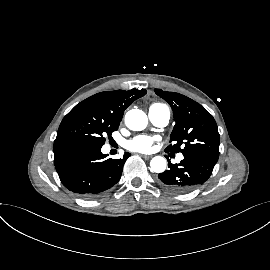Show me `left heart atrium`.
Wrapping results in <instances>:
<instances>
[{"label":"left heart atrium","instance_id":"left-heart-atrium-1","mask_svg":"<svg viewBox=\"0 0 270 270\" xmlns=\"http://www.w3.org/2000/svg\"><path fill=\"white\" fill-rule=\"evenodd\" d=\"M155 138L147 135H139L126 143V148L130 151L147 153L152 150Z\"/></svg>","mask_w":270,"mask_h":270}]
</instances>
